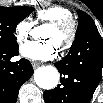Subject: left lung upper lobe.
Masks as SVG:
<instances>
[{"mask_svg":"<svg viewBox=\"0 0 103 103\" xmlns=\"http://www.w3.org/2000/svg\"><path fill=\"white\" fill-rule=\"evenodd\" d=\"M77 13L79 21L75 40L81 38L88 31L97 30L94 20L87 13L81 10H78Z\"/></svg>","mask_w":103,"mask_h":103,"instance_id":"left-lung-upper-lobe-1","label":"left lung upper lobe"}]
</instances>
